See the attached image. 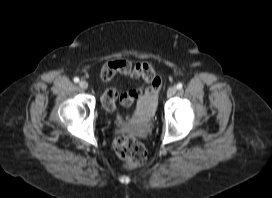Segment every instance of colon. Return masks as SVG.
I'll return each instance as SVG.
<instances>
[{
  "label": "colon",
  "instance_id": "colon-1",
  "mask_svg": "<svg viewBox=\"0 0 272 198\" xmlns=\"http://www.w3.org/2000/svg\"><path fill=\"white\" fill-rule=\"evenodd\" d=\"M103 77H112V69L104 68ZM114 149L119 158L124 162L125 167L133 169L143 165L147 160L145 147L134 137L120 136L114 142Z\"/></svg>",
  "mask_w": 272,
  "mask_h": 198
}]
</instances>
